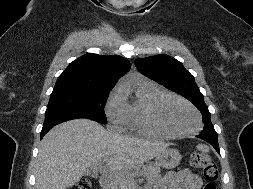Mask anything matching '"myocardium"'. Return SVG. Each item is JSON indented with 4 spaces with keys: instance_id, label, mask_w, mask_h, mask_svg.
Returning a JSON list of instances; mask_svg holds the SVG:
<instances>
[{
    "instance_id": "myocardium-1",
    "label": "myocardium",
    "mask_w": 253,
    "mask_h": 189,
    "mask_svg": "<svg viewBox=\"0 0 253 189\" xmlns=\"http://www.w3.org/2000/svg\"><path fill=\"white\" fill-rule=\"evenodd\" d=\"M167 99L176 100V101L186 105L187 107H189L194 112V114L196 116V119H197L196 128L189 130V131H185V132H177V131L170 129L162 121V119L160 117V107H161L162 103ZM148 122H149V125L154 130L158 131L159 133H161L165 136L174 137V138H181V137H186L189 135L196 134L202 127L201 115H200L199 111L197 110V108L192 103L187 101L186 99H184L178 95H175L173 93H164V94L160 95L159 97H157L153 101V103L151 104V106L149 108V112H148Z\"/></svg>"
}]
</instances>
